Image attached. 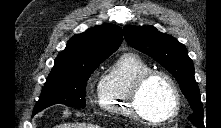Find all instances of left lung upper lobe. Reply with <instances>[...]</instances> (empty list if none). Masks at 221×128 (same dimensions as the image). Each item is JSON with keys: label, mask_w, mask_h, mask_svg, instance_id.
<instances>
[{"label": "left lung upper lobe", "mask_w": 221, "mask_h": 128, "mask_svg": "<svg viewBox=\"0 0 221 128\" xmlns=\"http://www.w3.org/2000/svg\"><path fill=\"white\" fill-rule=\"evenodd\" d=\"M124 36L130 46L151 56L174 76L193 110L188 119L195 126L204 127L199 87L186 47L153 26H125Z\"/></svg>", "instance_id": "1"}]
</instances>
